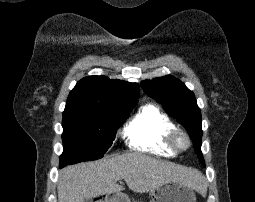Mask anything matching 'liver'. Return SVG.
I'll return each instance as SVG.
<instances>
[{
    "mask_svg": "<svg viewBox=\"0 0 255 202\" xmlns=\"http://www.w3.org/2000/svg\"><path fill=\"white\" fill-rule=\"evenodd\" d=\"M124 179L129 189L145 193L166 182L177 181L201 190L204 179L195 169L130 153L81 163L60 172L58 202H83L101 195L120 192Z\"/></svg>",
    "mask_w": 255,
    "mask_h": 202,
    "instance_id": "6515ba94",
    "label": "liver"
}]
</instances>
